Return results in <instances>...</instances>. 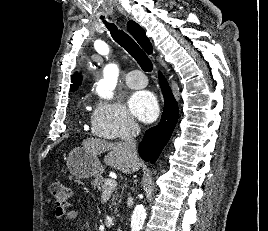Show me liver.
I'll list each match as a JSON object with an SVG mask.
<instances>
[{"label": "liver", "mask_w": 268, "mask_h": 231, "mask_svg": "<svg viewBox=\"0 0 268 231\" xmlns=\"http://www.w3.org/2000/svg\"><path fill=\"white\" fill-rule=\"evenodd\" d=\"M83 147L87 148L94 155L107 152L104 162L111 167L120 170L122 173L129 174L140 168L139 160L133 162L122 142H107L97 138H87L82 142Z\"/></svg>", "instance_id": "liver-1"}]
</instances>
